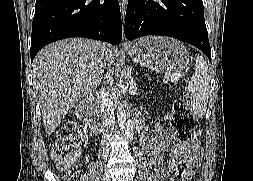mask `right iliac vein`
Here are the masks:
<instances>
[{
    "instance_id": "1",
    "label": "right iliac vein",
    "mask_w": 253,
    "mask_h": 181,
    "mask_svg": "<svg viewBox=\"0 0 253 181\" xmlns=\"http://www.w3.org/2000/svg\"><path fill=\"white\" fill-rule=\"evenodd\" d=\"M102 181H110L109 175L105 174Z\"/></svg>"
}]
</instances>
